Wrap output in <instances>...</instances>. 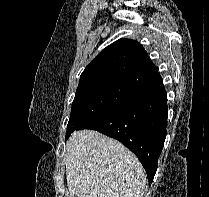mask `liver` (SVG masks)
Wrapping results in <instances>:
<instances>
[{
    "label": "liver",
    "instance_id": "6515ba94",
    "mask_svg": "<svg viewBox=\"0 0 209 197\" xmlns=\"http://www.w3.org/2000/svg\"><path fill=\"white\" fill-rule=\"evenodd\" d=\"M65 165L69 197H143L147 177L138 158L99 132H74Z\"/></svg>",
    "mask_w": 209,
    "mask_h": 197
}]
</instances>
